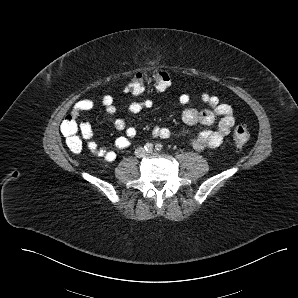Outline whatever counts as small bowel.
<instances>
[{"label": "small bowel", "mask_w": 298, "mask_h": 298, "mask_svg": "<svg viewBox=\"0 0 298 298\" xmlns=\"http://www.w3.org/2000/svg\"><path fill=\"white\" fill-rule=\"evenodd\" d=\"M200 100L207 105V108L198 110L188 107L182 112V120L188 125H195L197 123L203 125L216 124L217 128L215 130H201L188 138V144L198 151L219 147L235 124L233 109L229 104L221 103L217 97L208 93H201ZM179 102L183 105L188 104L190 102V96L186 93L181 94L179 96ZM94 105L95 103L91 99L79 100L74 104L71 114L77 116L82 112L91 110ZM102 105L105 107L108 114H116L117 108L112 96L105 95L102 98ZM152 106L153 101L151 99L134 101L130 103L127 111L130 114H138ZM114 126L117 130L124 131V135L116 139L115 147L117 149L127 148L130 145L131 139L137 134L136 128L126 126L125 121L120 118L114 121ZM152 134L154 137L167 139L170 137V130L166 127L156 126L153 128ZM86 147L92 155L98 156L106 162H113L116 160L117 155L114 150L103 147L96 141L90 139V137L88 138Z\"/></svg>", "instance_id": "1"}]
</instances>
